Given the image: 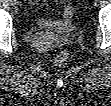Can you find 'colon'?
Wrapping results in <instances>:
<instances>
[{
    "label": "colon",
    "instance_id": "1",
    "mask_svg": "<svg viewBox=\"0 0 111 106\" xmlns=\"http://www.w3.org/2000/svg\"><path fill=\"white\" fill-rule=\"evenodd\" d=\"M73 12H74L73 5L72 4L67 5V7L64 10V18L65 19L72 18ZM67 60H68V54L66 52H60L56 54L54 57V62L57 65H63L67 62Z\"/></svg>",
    "mask_w": 111,
    "mask_h": 106
}]
</instances>
